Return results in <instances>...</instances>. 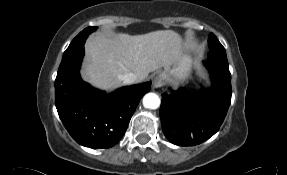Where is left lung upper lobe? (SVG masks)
I'll use <instances>...</instances> for the list:
<instances>
[{
  "label": "left lung upper lobe",
  "instance_id": "1",
  "mask_svg": "<svg viewBox=\"0 0 287 175\" xmlns=\"http://www.w3.org/2000/svg\"><path fill=\"white\" fill-rule=\"evenodd\" d=\"M208 46L210 49V52L208 53L209 58L228 62L224 47L221 45V43L218 41L217 37L213 33H211V35L209 36Z\"/></svg>",
  "mask_w": 287,
  "mask_h": 175
}]
</instances>
